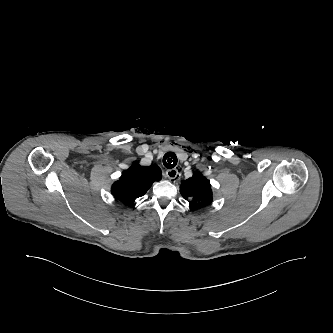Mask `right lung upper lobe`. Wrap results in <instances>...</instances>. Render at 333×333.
I'll list each match as a JSON object with an SVG mask.
<instances>
[{
	"label": "right lung upper lobe",
	"mask_w": 333,
	"mask_h": 333,
	"mask_svg": "<svg viewBox=\"0 0 333 333\" xmlns=\"http://www.w3.org/2000/svg\"><path fill=\"white\" fill-rule=\"evenodd\" d=\"M161 170L157 165L140 166L137 162L122 172L111 188L115 198L132 206L133 202L144 195L154 181L161 180Z\"/></svg>",
	"instance_id": "1"
}]
</instances>
